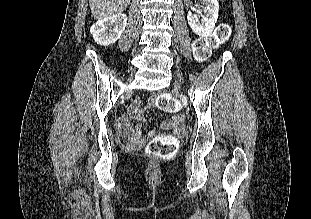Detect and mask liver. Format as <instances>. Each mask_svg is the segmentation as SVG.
<instances>
[{"label":"liver","mask_w":311,"mask_h":219,"mask_svg":"<svg viewBox=\"0 0 311 219\" xmlns=\"http://www.w3.org/2000/svg\"><path fill=\"white\" fill-rule=\"evenodd\" d=\"M130 0H89L91 13L97 20L121 14Z\"/></svg>","instance_id":"liver-1"}]
</instances>
